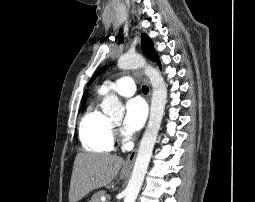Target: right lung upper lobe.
Returning <instances> with one entry per match:
<instances>
[{
	"label": "right lung upper lobe",
	"instance_id": "obj_1",
	"mask_svg": "<svg viewBox=\"0 0 255 202\" xmlns=\"http://www.w3.org/2000/svg\"><path fill=\"white\" fill-rule=\"evenodd\" d=\"M85 96H86V94H84V96H83V100H82V103H84V99H85Z\"/></svg>",
	"mask_w": 255,
	"mask_h": 202
}]
</instances>
